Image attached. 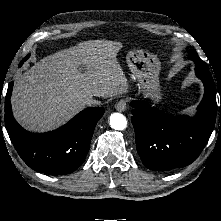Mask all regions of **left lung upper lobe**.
<instances>
[{
	"label": "left lung upper lobe",
	"mask_w": 221,
	"mask_h": 221,
	"mask_svg": "<svg viewBox=\"0 0 221 221\" xmlns=\"http://www.w3.org/2000/svg\"><path fill=\"white\" fill-rule=\"evenodd\" d=\"M188 53H189V58L192 59L193 61L201 60V59L198 57V55H197V53L195 52V50H190V51H188Z\"/></svg>",
	"instance_id": "obj_1"
}]
</instances>
